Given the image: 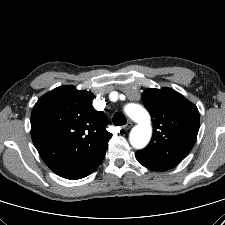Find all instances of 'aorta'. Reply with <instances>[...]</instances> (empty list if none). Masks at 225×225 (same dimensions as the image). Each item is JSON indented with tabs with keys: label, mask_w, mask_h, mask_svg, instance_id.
Returning a JSON list of instances; mask_svg holds the SVG:
<instances>
[{
	"label": "aorta",
	"mask_w": 225,
	"mask_h": 225,
	"mask_svg": "<svg viewBox=\"0 0 225 225\" xmlns=\"http://www.w3.org/2000/svg\"><path fill=\"white\" fill-rule=\"evenodd\" d=\"M126 114L137 123L129 134L130 144L135 149L144 148L152 136V126L148 111L138 104H128L125 107Z\"/></svg>",
	"instance_id": "aorta-1"
}]
</instances>
